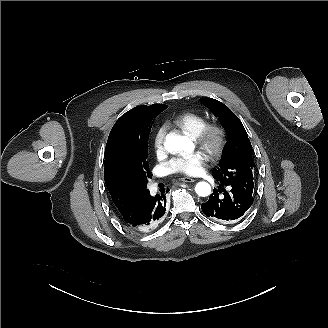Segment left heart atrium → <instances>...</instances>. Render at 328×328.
<instances>
[{"instance_id":"obj_1","label":"left heart atrium","mask_w":328,"mask_h":328,"mask_svg":"<svg viewBox=\"0 0 328 328\" xmlns=\"http://www.w3.org/2000/svg\"><path fill=\"white\" fill-rule=\"evenodd\" d=\"M172 172L183 173L188 176H199L206 168V157L200 152H193L173 160L169 164Z\"/></svg>"}]
</instances>
